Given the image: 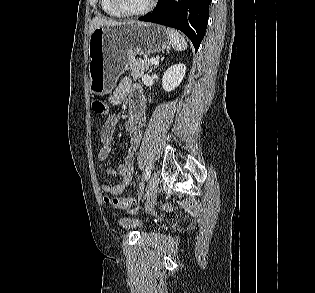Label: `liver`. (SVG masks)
<instances>
[{
  "label": "liver",
  "instance_id": "obj_1",
  "mask_svg": "<svg viewBox=\"0 0 315 293\" xmlns=\"http://www.w3.org/2000/svg\"><path fill=\"white\" fill-rule=\"evenodd\" d=\"M126 22H121V21H114L111 19H105V18H101V17H95L91 23H90V33H92L97 27L99 26H116V25H121L124 24Z\"/></svg>",
  "mask_w": 315,
  "mask_h": 293
}]
</instances>
